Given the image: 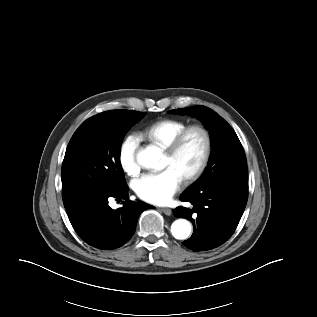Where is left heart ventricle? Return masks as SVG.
Wrapping results in <instances>:
<instances>
[{"mask_svg": "<svg viewBox=\"0 0 317 317\" xmlns=\"http://www.w3.org/2000/svg\"><path fill=\"white\" fill-rule=\"evenodd\" d=\"M203 150V136L199 132L193 131L187 136L175 157L172 158L165 154L164 167L173 168L183 178L196 169L201 160Z\"/></svg>", "mask_w": 317, "mask_h": 317, "instance_id": "obj_1", "label": "left heart ventricle"}]
</instances>
